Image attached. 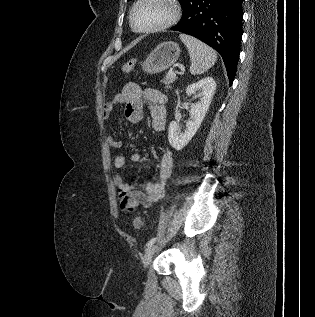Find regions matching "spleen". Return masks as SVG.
Wrapping results in <instances>:
<instances>
[{
	"mask_svg": "<svg viewBox=\"0 0 315 317\" xmlns=\"http://www.w3.org/2000/svg\"><path fill=\"white\" fill-rule=\"evenodd\" d=\"M179 37L188 49L191 74L200 75L215 64L217 54L211 47L187 34L181 33Z\"/></svg>",
	"mask_w": 315,
	"mask_h": 317,
	"instance_id": "spleen-1",
	"label": "spleen"
}]
</instances>
